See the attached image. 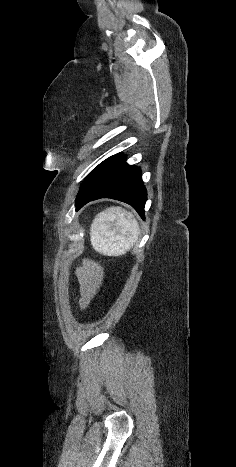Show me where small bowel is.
I'll use <instances>...</instances> for the list:
<instances>
[{"label": "small bowel", "mask_w": 236, "mask_h": 467, "mask_svg": "<svg viewBox=\"0 0 236 467\" xmlns=\"http://www.w3.org/2000/svg\"><path fill=\"white\" fill-rule=\"evenodd\" d=\"M79 283V306L87 308L96 297L104 280L102 268L95 262L86 260L76 271Z\"/></svg>", "instance_id": "c3829d8e"}]
</instances>
